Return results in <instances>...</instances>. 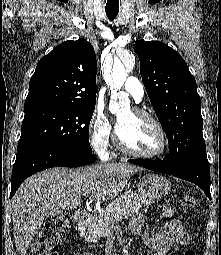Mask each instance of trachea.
Listing matches in <instances>:
<instances>
[{
    "instance_id": "obj_1",
    "label": "trachea",
    "mask_w": 221,
    "mask_h": 255,
    "mask_svg": "<svg viewBox=\"0 0 221 255\" xmlns=\"http://www.w3.org/2000/svg\"><path fill=\"white\" fill-rule=\"evenodd\" d=\"M105 12L107 14V17L110 21H112L113 19L116 18L118 12H119V9H105Z\"/></svg>"
}]
</instances>
